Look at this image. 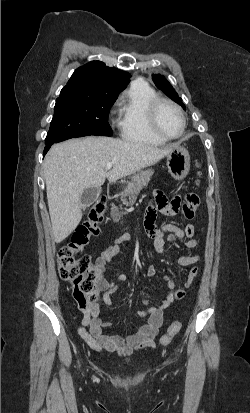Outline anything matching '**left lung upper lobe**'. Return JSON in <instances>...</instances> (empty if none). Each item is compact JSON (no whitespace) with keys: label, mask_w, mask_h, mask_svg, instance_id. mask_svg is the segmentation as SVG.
Segmentation results:
<instances>
[{"label":"left lung upper lobe","mask_w":250,"mask_h":413,"mask_svg":"<svg viewBox=\"0 0 250 413\" xmlns=\"http://www.w3.org/2000/svg\"><path fill=\"white\" fill-rule=\"evenodd\" d=\"M153 81L159 89H161L166 95H168L172 100H174L176 103L181 105L183 109H185V105L183 104L182 99L178 96L176 91L164 76H161L159 74L153 75Z\"/></svg>","instance_id":"left-lung-upper-lobe-1"}]
</instances>
